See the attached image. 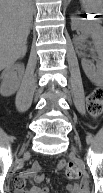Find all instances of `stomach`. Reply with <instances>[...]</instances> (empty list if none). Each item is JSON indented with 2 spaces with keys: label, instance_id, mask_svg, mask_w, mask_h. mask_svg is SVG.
I'll return each instance as SVG.
<instances>
[{
  "label": "stomach",
  "instance_id": "0dacf381",
  "mask_svg": "<svg viewBox=\"0 0 103 193\" xmlns=\"http://www.w3.org/2000/svg\"><path fill=\"white\" fill-rule=\"evenodd\" d=\"M86 11L99 12L102 6V0H80Z\"/></svg>",
  "mask_w": 103,
  "mask_h": 193
}]
</instances>
